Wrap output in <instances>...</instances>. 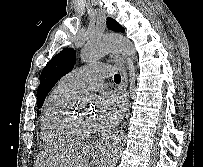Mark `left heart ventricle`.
<instances>
[{
  "label": "left heart ventricle",
  "mask_w": 203,
  "mask_h": 167,
  "mask_svg": "<svg viewBox=\"0 0 203 167\" xmlns=\"http://www.w3.org/2000/svg\"><path fill=\"white\" fill-rule=\"evenodd\" d=\"M76 115L84 127L95 129L94 116L92 112L90 111L78 112Z\"/></svg>",
  "instance_id": "left-heart-ventricle-1"
}]
</instances>
